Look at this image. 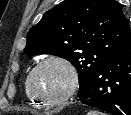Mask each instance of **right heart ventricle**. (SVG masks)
<instances>
[{"mask_svg":"<svg viewBox=\"0 0 131 115\" xmlns=\"http://www.w3.org/2000/svg\"><path fill=\"white\" fill-rule=\"evenodd\" d=\"M24 91H25V95H26L28 101H29L31 104H33V105H35V106H39V105H40L39 102L30 95V93H29V91H28V89H27V78H26L25 81H24Z\"/></svg>","mask_w":131,"mask_h":115,"instance_id":"1","label":"right heart ventricle"}]
</instances>
